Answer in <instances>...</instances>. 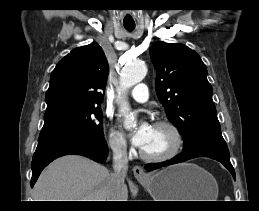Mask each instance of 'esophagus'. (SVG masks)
<instances>
[{
	"label": "esophagus",
	"mask_w": 259,
	"mask_h": 211,
	"mask_svg": "<svg viewBox=\"0 0 259 211\" xmlns=\"http://www.w3.org/2000/svg\"><path fill=\"white\" fill-rule=\"evenodd\" d=\"M133 173L137 180H146L148 178V175L141 166H135L133 168Z\"/></svg>",
	"instance_id": "1"
}]
</instances>
